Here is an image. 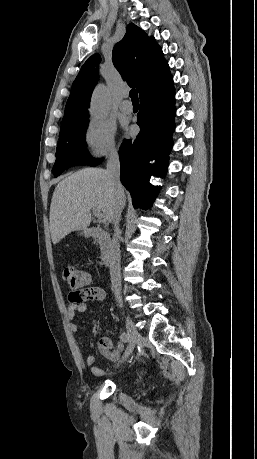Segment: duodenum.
<instances>
[{
    "instance_id": "obj_1",
    "label": "duodenum",
    "mask_w": 257,
    "mask_h": 459,
    "mask_svg": "<svg viewBox=\"0 0 257 459\" xmlns=\"http://www.w3.org/2000/svg\"><path fill=\"white\" fill-rule=\"evenodd\" d=\"M85 236H92L96 237L99 241L101 247V256L100 261L103 265L107 266L110 261L111 256V248L113 244V240L111 236L99 228H89L84 232Z\"/></svg>"
}]
</instances>
